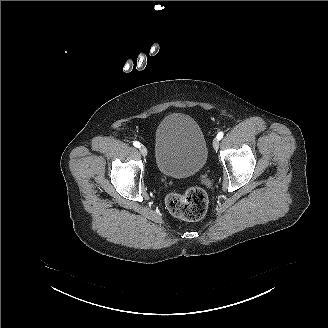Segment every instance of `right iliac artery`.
<instances>
[{
    "mask_svg": "<svg viewBox=\"0 0 328 328\" xmlns=\"http://www.w3.org/2000/svg\"><path fill=\"white\" fill-rule=\"evenodd\" d=\"M133 145H134L135 147H137V148L140 147V143H139L138 141H134V142H133Z\"/></svg>",
    "mask_w": 328,
    "mask_h": 328,
    "instance_id": "82829eb1",
    "label": "right iliac artery"
}]
</instances>
